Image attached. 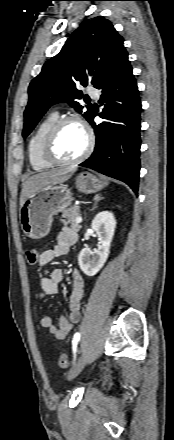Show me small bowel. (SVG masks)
Masks as SVG:
<instances>
[{
  "label": "small bowel",
  "instance_id": "1",
  "mask_svg": "<svg viewBox=\"0 0 174 440\" xmlns=\"http://www.w3.org/2000/svg\"><path fill=\"white\" fill-rule=\"evenodd\" d=\"M77 234L69 229H62L57 236V243L52 249H47L39 255V266L46 267L55 258L63 256L68 253L69 248L76 242ZM63 280V272L60 268L51 270L47 275H42L40 280L41 291L39 299L45 296L55 295L58 293V286ZM73 286L69 297L68 307L69 315L60 316L58 324H55L49 316L41 319L40 325L42 328L49 330L51 334L58 340L65 339L73 327L81 319V300L84 294L85 280L80 271L74 270L72 272Z\"/></svg>",
  "mask_w": 174,
  "mask_h": 440
}]
</instances>
